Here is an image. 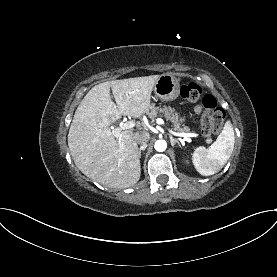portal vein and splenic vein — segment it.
Instances as JSON below:
<instances>
[{
	"label": "portal vein and splenic vein",
	"mask_w": 277,
	"mask_h": 277,
	"mask_svg": "<svg viewBox=\"0 0 277 277\" xmlns=\"http://www.w3.org/2000/svg\"><path fill=\"white\" fill-rule=\"evenodd\" d=\"M156 123L159 124V125H165V122L162 118H157L156 119ZM136 126V122L131 120V121H127V122H124L120 125L119 128H116L113 130V135L116 137V138H119L121 137V132L123 130H128V129H132ZM168 131L174 135V136H178V137H183L184 140H187L189 139L190 137H197L198 134L197 133H180V132H175L173 130H171L170 128H168Z\"/></svg>",
	"instance_id": "obj_1"
}]
</instances>
